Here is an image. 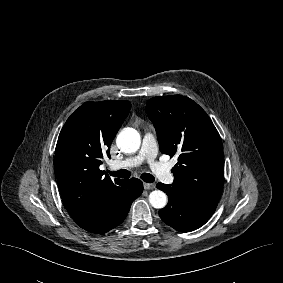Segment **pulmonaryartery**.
Wrapping results in <instances>:
<instances>
[{
  "instance_id": "e3ab8cb5",
  "label": "pulmonary artery",
  "mask_w": 283,
  "mask_h": 283,
  "mask_svg": "<svg viewBox=\"0 0 283 283\" xmlns=\"http://www.w3.org/2000/svg\"><path fill=\"white\" fill-rule=\"evenodd\" d=\"M157 143L153 134L146 132L142 138L140 151L137 155L125 158L123 160H114L110 166L112 169L130 168L140 165L146 161L154 174L165 183L173 182V175L170 168L156 160Z\"/></svg>"
}]
</instances>
